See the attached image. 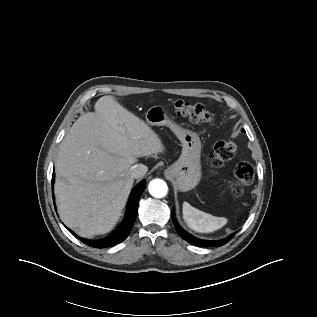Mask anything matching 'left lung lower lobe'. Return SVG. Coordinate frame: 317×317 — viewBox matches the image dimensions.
Returning <instances> with one entry per match:
<instances>
[{"instance_id": "obj_1", "label": "left lung lower lobe", "mask_w": 317, "mask_h": 317, "mask_svg": "<svg viewBox=\"0 0 317 317\" xmlns=\"http://www.w3.org/2000/svg\"><path fill=\"white\" fill-rule=\"evenodd\" d=\"M172 220L174 223V226L180 235L184 240L191 243L192 245L199 246V247H218L226 244L228 241H230L236 233L230 234L228 237L222 240H216V241H209V240H203L198 239L191 234L187 233L185 230H183L177 223L176 218L174 216V211H172Z\"/></svg>"}]
</instances>
